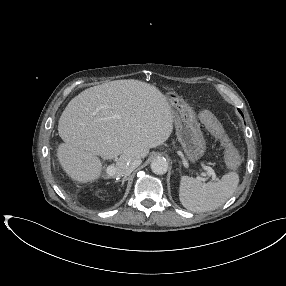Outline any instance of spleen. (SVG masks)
<instances>
[{
  "mask_svg": "<svg viewBox=\"0 0 286 286\" xmlns=\"http://www.w3.org/2000/svg\"><path fill=\"white\" fill-rule=\"evenodd\" d=\"M239 175L229 172L218 182L202 183L200 180L182 176L179 185L181 204L193 212H207L221 207L235 192Z\"/></svg>",
  "mask_w": 286,
  "mask_h": 286,
  "instance_id": "obj_1",
  "label": "spleen"
}]
</instances>
